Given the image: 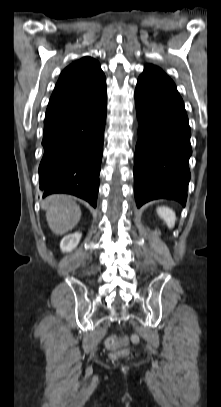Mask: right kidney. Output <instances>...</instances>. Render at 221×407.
Here are the masks:
<instances>
[{
	"mask_svg": "<svg viewBox=\"0 0 221 407\" xmlns=\"http://www.w3.org/2000/svg\"><path fill=\"white\" fill-rule=\"evenodd\" d=\"M82 234L80 232H75L65 236L60 243V248L63 252L72 251L79 243Z\"/></svg>",
	"mask_w": 221,
	"mask_h": 407,
	"instance_id": "right-kidney-1",
	"label": "right kidney"
}]
</instances>
